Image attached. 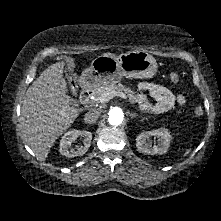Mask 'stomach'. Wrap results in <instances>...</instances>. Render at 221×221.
<instances>
[{
    "mask_svg": "<svg viewBox=\"0 0 221 221\" xmlns=\"http://www.w3.org/2000/svg\"><path fill=\"white\" fill-rule=\"evenodd\" d=\"M157 73L156 59L146 51H129L119 56L100 55L80 76L82 87L97 88L130 79L152 78Z\"/></svg>",
    "mask_w": 221,
    "mask_h": 221,
    "instance_id": "obj_1",
    "label": "stomach"
}]
</instances>
